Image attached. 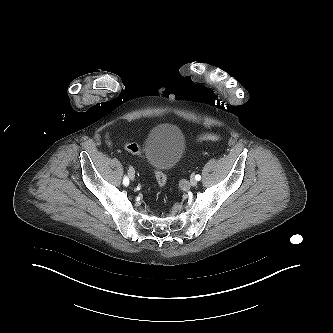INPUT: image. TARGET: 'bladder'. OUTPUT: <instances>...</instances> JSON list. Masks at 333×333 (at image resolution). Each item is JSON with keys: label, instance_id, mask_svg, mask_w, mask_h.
Segmentation results:
<instances>
[{"label": "bladder", "instance_id": "1", "mask_svg": "<svg viewBox=\"0 0 333 333\" xmlns=\"http://www.w3.org/2000/svg\"><path fill=\"white\" fill-rule=\"evenodd\" d=\"M186 140L179 127L173 124H159L148 133L143 154L148 165L163 172L173 169L181 160Z\"/></svg>", "mask_w": 333, "mask_h": 333}]
</instances>
